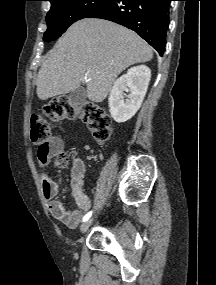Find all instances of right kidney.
<instances>
[{"label": "right kidney", "instance_id": "obj_1", "mask_svg": "<svg viewBox=\"0 0 216 285\" xmlns=\"http://www.w3.org/2000/svg\"><path fill=\"white\" fill-rule=\"evenodd\" d=\"M150 78L151 70L140 65L130 68L115 81L109 95V111L116 122H126L135 115L143 102Z\"/></svg>", "mask_w": 216, "mask_h": 285}]
</instances>
